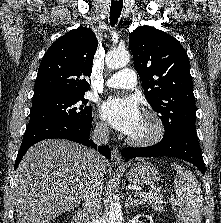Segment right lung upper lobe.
Segmentation results:
<instances>
[{"instance_id":"1","label":"right lung upper lobe","mask_w":221,"mask_h":223,"mask_svg":"<svg viewBox=\"0 0 221 223\" xmlns=\"http://www.w3.org/2000/svg\"><path fill=\"white\" fill-rule=\"evenodd\" d=\"M97 45L94 32L82 26L57 39L41 61L33 101L85 93Z\"/></svg>"}]
</instances>
